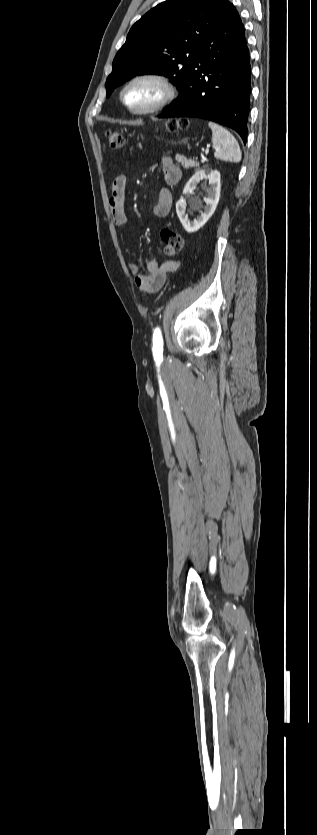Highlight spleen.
<instances>
[{
  "instance_id": "3e777b00",
  "label": "spleen",
  "mask_w": 317,
  "mask_h": 835,
  "mask_svg": "<svg viewBox=\"0 0 317 835\" xmlns=\"http://www.w3.org/2000/svg\"><path fill=\"white\" fill-rule=\"evenodd\" d=\"M208 126L212 130V144L215 147V158L229 162H240L242 156L241 150L234 136L217 123L209 122Z\"/></svg>"
}]
</instances>
